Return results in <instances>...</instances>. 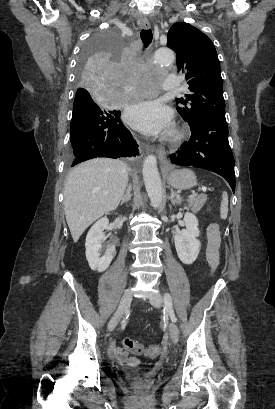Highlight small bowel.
<instances>
[{
	"instance_id": "1",
	"label": "small bowel",
	"mask_w": 275,
	"mask_h": 409,
	"mask_svg": "<svg viewBox=\"0 0 275 409\" xmlns=\"http://www.w3.org/2000/svg\"><path fill=\"white\" fill-rule=\"evenodd\" d=\"M219 246V227L217 224H212L208 229V247L206 256L208 263L213 270L219 263ZM109 355L113 360L120 363H125L131 366H136L139 364V360L137 358L129 357L126 350L118 347L115 343L110 345Z\"/></svg>"
}]
</instances>
